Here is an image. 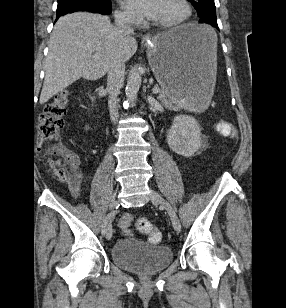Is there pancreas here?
<instances>
[{
	"label": "pancreas",
	"mask_w": 286,
	"mask_h": 308,
	"mask_svg": "<svg viewBox=\"0 0 286 308\" xmlns=\"http://www.w3.org/2000/svg\"><path fill=\"white\" fill-rule=\"evenodd\" d=\"M158 98L165 104L166 107L168 108H171V107H174V104H177L178 102L177 101H173L171 100L166 91L163 89L159 92V96Z\"/></svg>",
	"instance_id": "cf45deb5"
}]
</instances>
